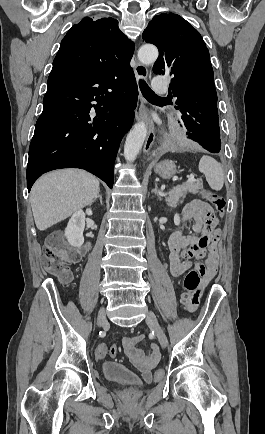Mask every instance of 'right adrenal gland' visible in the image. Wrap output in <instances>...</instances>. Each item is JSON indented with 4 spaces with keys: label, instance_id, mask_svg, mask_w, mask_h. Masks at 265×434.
<instances>
[{
    "label": "right adrenal gland",
    "instance_id": "obj_1",
    "mask_svg": "<svg viewBox=\"0 0 265 434\" xmlns=\"http://www.w3.org/2000/svg\"><path fill=\"white\" fill-rule=\"evenodd\" d=\"M98 198L100 200V204H103V202H102V196H100V194H97V196H95L93 202H96V200H98Z\"/></svg>",
    "mask_w": 265,
    "mask_h": 434
}]
</instances>
